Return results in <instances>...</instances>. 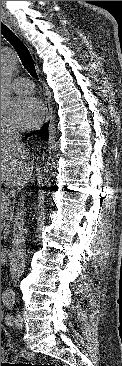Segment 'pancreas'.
Here are the masks:
<instances>
[{
	"instance_id": "pancreas-1",
	"label": "pancreas",
	"mask_w": 122,
	"mask_h": 366,
	"mask_svg": "<svg viewBox=\"0 0 122 366\" xmlns=\"http://www.w3.org/2000/svg\"><path fill=\"white\" fill-rule=\"evenodd\" d=\"M3 197L5 198L3 200ZM10 204L9 195L6 191H1V240L6 238L9 233L10 224L8 218V206Z\"/></svg>"
}]
</instances>
